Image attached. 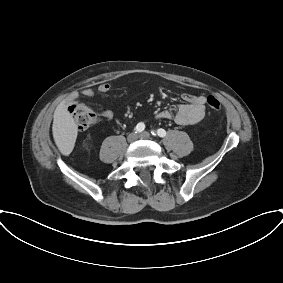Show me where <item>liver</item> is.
<instances>
[{
    "label": "liver",
    "mask_w": 283,
    "mask_h": 283,
    "mask_svg": "<svg viewBox=\"0 0 283 283\" xmlns=\"http://www.w3.org/2000/svg\"><path fill=\"white\" fill-rule=\"evenodd\" d=\"M53 117L52 131L54 141L63 155H69L76 142L77 125L69 114L64 102H61L56 107Z\"/></svg>",
    "instance_id": "obj_1"
}]
</instances>
